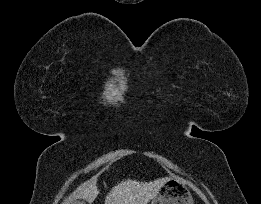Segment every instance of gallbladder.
<instances>
[{
    "label": "gallbladder",
    "instance_id": "obj_1",
    "mask_svg": "<svg viewBox=\"0 0 261 204\" xmlns=\"http://www.w3.org/2000/svg\"><path fill=\"white\" fill-rule=\"evenodd\" d=\"M71 204H86L84 201L81 200H73Z\"/></svg>",
    "mask_w": 261,
    "mask_h": 204
}]
</instances>
